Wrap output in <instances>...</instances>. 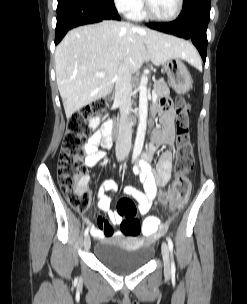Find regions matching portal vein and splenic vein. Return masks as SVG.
Here are the masks:
<instances>
[{
    "label": "portal vein and splenic vein",
    "instance_id": "18ae733b",
    "mask_svg": "<svg viewBox=\"0 0 247 304\" xmlns=\"http://www.w3.org/2000/svg\"><path fill=\"white\" fill-rule=\"evenodd\" d=\"M99 77H104L105 76V73H98L97 74ZM153 97H156V94L153 92L152 93Z\"/></svg>",
    "mask_w": 247,
    "mask_h": 304
}]
</instances>
